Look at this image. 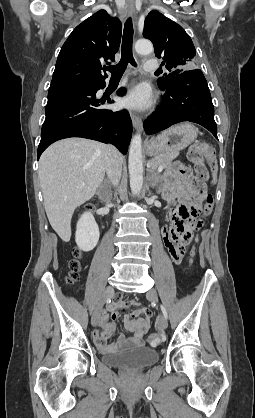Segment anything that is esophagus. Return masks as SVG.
<instances>
[{
	"label": "esophagus",
	"instance_id": "obj_1",
	"mask_svg": "<svg viewBox=\"0 0 255 418\" xmlns=\"http://www.w3.org/2000/svg\"><path fill=\"white\" fill-rule=\"evenodd\" d=\"M127 11L130 14H134L135 9H134V2H133V0H128V3H127ZM131 119H132L133 127L135 129H140L141 128V125H142L141 118L139 116L135 115V114H132L131 115Z\"/></svg>",
	"mask_w": 255,
	"mask_h": 418
}]
</instances>
